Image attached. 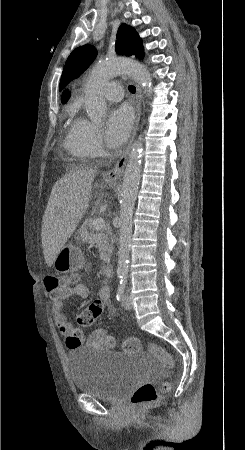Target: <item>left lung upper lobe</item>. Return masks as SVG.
<instances>
[{
  "label": "left lung upper lobe",
  "mask_w": 245,
  "mask_h": 450,
  "mask_svg": "<svg viewBox=\"0 0 245 450\" xmlns=\"http://www.w3.org/2000/svg\"><path fill=\"white\" fill-rule=\"evenodd\" d=\"M116 48L117 52L122 55H136L138 58L144 56L141 39L136 31L126 24H122L118 29ZM96 55V49L90 45L75 49L66 61L60 81V90L86 70L94 61Z\"/></svg>",
  "instance_id": "left-lung-upper-lobe-1"
}]
</instances>
